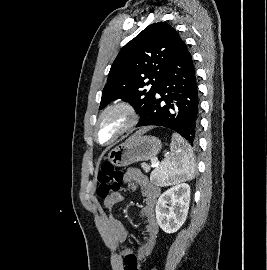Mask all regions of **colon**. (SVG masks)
Masks as SVG:
<instances>
[{"mask_svg": "<svg viewBox=\"0 0 267 270\" xmlns=\"http://www.w3.org/2000/svg\"><path fill=\"white\" fill-rule=\"evenodd\" d=\"M121 182L122 173L110 162H104L98 172L97 195L101 198L109 197L120 189ZM124 270H141L137 254L130 252L124 257Z\"/></svg>", "mask_w": 267, "mask_h": 270, "instance_id": "colon-1", "label": "colon"}]
</instances>
